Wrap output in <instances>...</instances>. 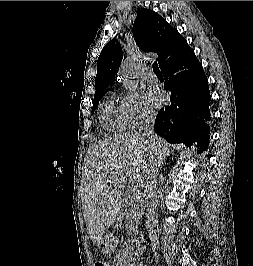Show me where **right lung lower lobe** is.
Listing matches in <instances>:
<instances>
[{"mask_svg": "<svg viewBox=\"0 0 253 266\" xmlns=\"http://www.w3.org/2000/svg\"><path fill=\"white\" fill-rule=\"evenodd\" d=\"M164 88L171 91L170 104L157 114L154 130L169 143L199 144L208 148L211 120L208 79L193 50L161 68Z\"/></svg>", "mask_w": 253, "mask_h": 266, "instance_id": "98d812e1", "label": "right lung lower lobe"}]
</instances>
